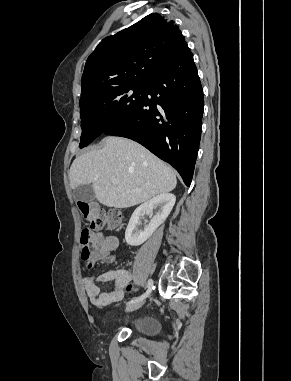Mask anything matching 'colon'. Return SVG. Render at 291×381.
<instances>
[{"label": "colon", "instance_id": "obj_1", "mask_svg": "<svg viewBox=\"0 0 291 381\" xmlns=\"http://www.w3.org/2000/svg\"><path fill=\"white\" fill-rule=\"evenodd\" d=\"M82 217L89 223V227L82 229L79 239L80 256L88 268L92 266L90 240L94 231L118 226L121 215L118 211H105L94 203L80 200L77 202ZM106 256V255H105ZM104 256V257H105ZM130 289V287H129Z\"/></svg>", "mask_w": 291, "mask_h": 381}]
</instances>
